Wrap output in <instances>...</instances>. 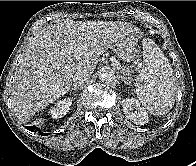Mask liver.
<instances>
[{"label":"liver","mask_w":196,"mask_h":166,"mask_svg":"<svg viewBox=\"0 0 196 166\" xmlns=\"http://www.w3.org/2000/svg\"><path fill=\"white\" fill-rule=\"evenodd\" d=\"M136 31L137 27L121 21H56L43 28L31 38L14 77L12 103L17 118L25 123L64 96L76 72L93 73L98 57Z\"/></svg>","instance_id":"liver-1"}]
</instances>
